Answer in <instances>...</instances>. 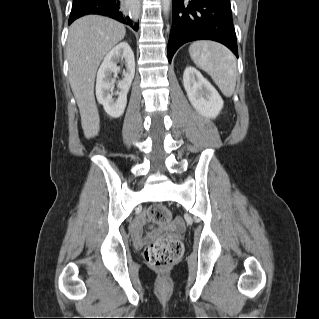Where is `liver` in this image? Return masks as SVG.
Segmentation results:
<instances>
[{
	"label": "liver",
	"mask_w": 319,
	"mask_h": 319,
	"mask_svg": "<svg viewBox=\"0 0 319 319\" xmlns=\"http://www.w3.org/2000/svg\"><path fill=\"white\" fill-rule=\"evenodd\" d=\"M126 33L123 24L99 15H87L69 28L66 54L69 63V82L75 96L84 135H98L100 118L94 97L97 69L104 56Z\"/></svg>",
	"instance_id": "6515ba94"
}]
</instances>
